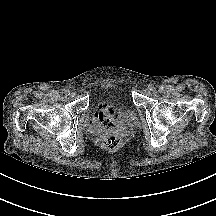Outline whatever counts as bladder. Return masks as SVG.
<instances>
[{
	"label": "bladder",
	"instance_id": "bladder-1",
	"mask_svg": "<svg viewBox=\"0 0 216 216\" xmlns=\"http://www.w3.org/2000/svg\"><path fill=\"white\" fill-rule=\"evenodd\" d=\"M135 112L131 108L122 111L114 120L113 125L120 128H128L135 123Z\"/></svg>",
	"mask_w": 216,
	"mask_h": 216
}]
</instances>
